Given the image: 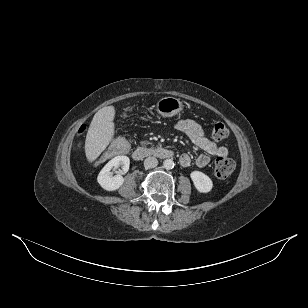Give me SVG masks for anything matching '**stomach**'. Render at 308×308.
<instances>
[{"mask_svg": "<svg viewBox=\"0 0 308 308\" xmlns=\"http://www.w3.org/2000/svg\"><path fill=\"white\" fill-rule=\"evenodd\" d=\"M183 103L175 97H165L156 104L157 112L163 117H172L183 110Z\"/></svg>", "mask_w": 308, "mask_h": 308, "instance_id": "1", "label": "stomach"}]
</instances>
